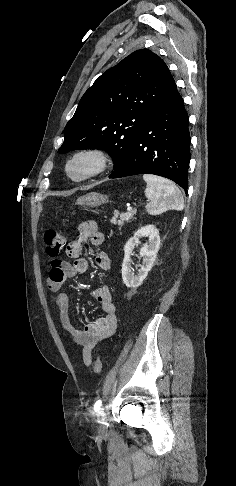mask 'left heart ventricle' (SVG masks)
Segmentation results:
<instances>
[{"mask_svg":"<svg viewBox=\"0 0 236 486\" xmlns=\"http://www.w3.org/2000/svg\"><path fill=\"white\" fill-rule=\"evenodd\" d=\"M93 166V162L87 158L78 159L74 164L71 166V173L74 176H81L88 172Z\"/></svg>","mask_w":236,"mask_h":486,"instance_id":"obj_1","label":"left heart ventricle"}]
</instances>
